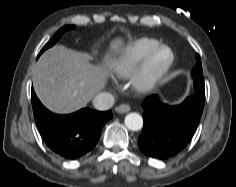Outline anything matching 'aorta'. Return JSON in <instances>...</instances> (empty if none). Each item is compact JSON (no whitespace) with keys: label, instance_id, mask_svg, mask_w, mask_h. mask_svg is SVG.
I'll use <instances>...</instances> for the list:
<instances>
[{"label":"aorta","instance_id":"aorta-1","mask_svg":"<svg viewBox=\"0 0 236 187\" xmlns=\"http://www.w3.org/2000/svg\"><path fill=\"white\" fill-rule=\"evenodd\" d=\"M125 125L131 131H138L143 127V118L140 114L132 112L126 115Z\"/></svg>","mask_w":236,"mask_h":187}]
</instances>
